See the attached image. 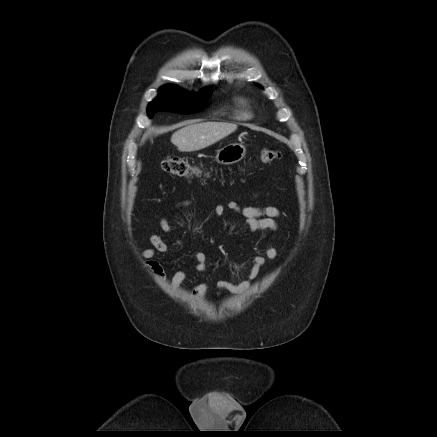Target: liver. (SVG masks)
<instances>
[{
	"label": "liver",
	"mask_w": 437,
	"mask_h": 437,
	"mask_svg": "<svg viewBox=\"0 0 437 437\" xmlns=\"http://www.w3.org/2000/svg\"><path fill=\"white\" fill-rule=\"evenodd\" d=\"M237 129V124L227 122L191 123L177 130L171 142L181 152L204 149L227 137Z\"/></svg>",
	"instance_id": "liver-1"
}]
</instances>
